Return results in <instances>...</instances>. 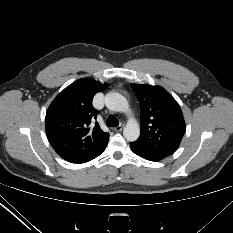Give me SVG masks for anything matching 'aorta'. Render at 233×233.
Instances as JSON below:
<instances>
[{"label": "aorta", "instance_id": "obj_1", "mask_svg": "<svg viewBox=\"0 0 233 233\" xmlns=\"http://www.w3.org/2000/svg\"><path fill=\"white\" fill-rule=\"evenodd\" d=\"M105 104L108 109L113 111H117V112L129 111V104L127 99L123 95L117 92L107 93L105 96ZM139 135H140L139 124L134 118H129L123 130V136L125 137L126 140L133 142L139 138Z\"/></svg>", "mask_w": 233, "mask_h": 233}]
</instances>
